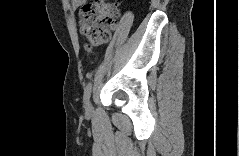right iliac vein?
<instances>
[{"instance_id":"right-iliac-vein-1","label":"right iliac vein","mask_w":239,"mask_h":156,"mask_svg":"<svg viewBox=\"0 0 239 156\" xmlns=\"http://www.w3.org/2000/svg\"><path fill=\"white\" fill-rule=\"evenodd\" d=\"M85 109H86V112H87V113H90V112H91L92 106H91V102H90V101H88V103H87Z\"/></svg>"}]
</instances>
